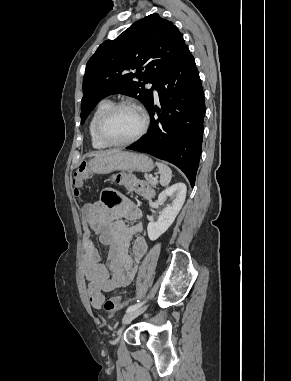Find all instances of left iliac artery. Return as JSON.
Wrapping results in <instances>:
<instances>
[{
	"mask_svg": "<svg viewBox=\"0 0 291 381\" xmlns=\"http://www.w3.org/2000/svg\"><path fill=\"white\" fill-rule=\"evenodd\" d=\"M142 304H143V302L138 301L136 304L129 306V307L127 308V311H126V312H131V311H133V310L139 308Z\"/></svg>",
	"mask_w": 291,
	"mask_h": 381,
	"instance_id": "obj_1",
	"label": "left iliac artery"
}]
</instances>
